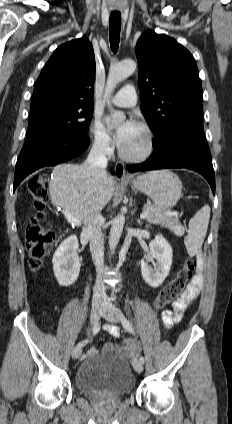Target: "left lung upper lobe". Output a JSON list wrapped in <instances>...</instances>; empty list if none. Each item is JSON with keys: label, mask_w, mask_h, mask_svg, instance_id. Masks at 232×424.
Here are the masks:
<instances>
[{"label": "left lung upper lobe", "mask_w": 232, "mask_h": 424, "mask_svg": "<svg viewBox=\"0 0 232 424\" xmlns=\"http://www.w3.org/2000/svg\"><path fill=\"white\" fill-rule=\"evenodd\" d=\"M141 111L161 142L177 124L203 118L202 86L191 53L175 39L146 31L136 45Z\"/></svg>", "instance_id": "left-lung-upper-lobe-1"}]
</instances>
